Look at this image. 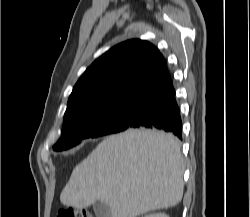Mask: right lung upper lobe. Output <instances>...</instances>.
Instances as JSON below:
<instances>
[{"mask_svg": "<svg viewBox=\"0 0 250 217\" xmlns=\"http://www.w3.org/2000/svg\"><path fill=\"white\" fill-rule=\"evenodd\" d=\"M170 79L162 54L151 43L139 39L120 43L79 78L63 121L114 104L139 101Z\"/></svg>", "mask_w": 250, "mask_h": 217, "instance_id": "1", "label": "right lung upper lobe"}]
</instances>
